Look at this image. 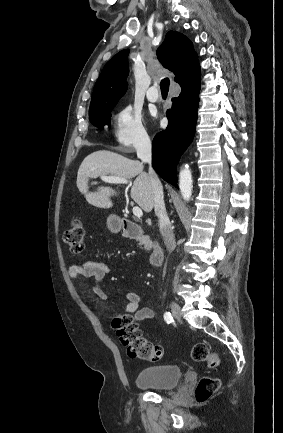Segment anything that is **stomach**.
Wrapping results in <instances>:
<instances>
[{
	"mask_svg": "<svg viewBox=\"0 0 283 433\" xmlns=\"http://www.w3.org/2000/svg\"><path fill=\"white\" fill-rule=\"evenodd\" d=\"M108 219H112V223H110L111 233H119L122 229V219L116 217V214H111V217H108Z\"/></svg>",
	"mask_w": 283,
	"mask_h": 433,
	"instance_id": "stomach-1",
	"label": "stomach"
}]
</instances>
